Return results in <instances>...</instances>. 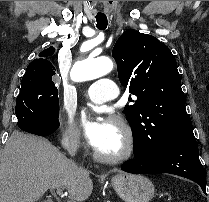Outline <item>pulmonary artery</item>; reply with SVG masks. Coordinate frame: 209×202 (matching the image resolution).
Wrapping results in <instances>:
<instances>
[{"mask_svg": "<svg viewBox=\"0 0 209 202\" xmlns=\"http://www.w3.org/2000/svg\"><path fill=\"white\" fill-rule=\"evenodd\" d=\"M116 86V83L112 80H96L84 89V95L90 102L102 104L115 97Z\"/></svg>", "mask_w": 209, "mask_h": 202, "instance_id": "e3ab8cb5", "label": "pulmonary artery"}]
</instances>
